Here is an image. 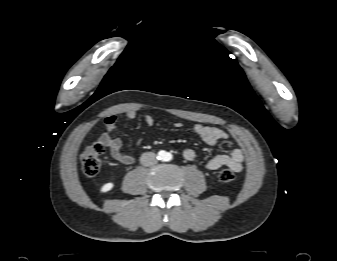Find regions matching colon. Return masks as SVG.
Instances as JSON below:
<instances>
[{
  "label": "colon",
  "instance_id": "obj_1",
  "mask_svg": "<svg viewBox=\"0 0 337 261\" xmlns=\"http://www.w3.org/2000/svg\"><path fill=\"white\" fill-rule=\"evenodd\" d=\"M105 147L102 143L96 142L86 146L80 155L82 171L86 176L92 177L98 174L102 165V157ZM222 182L229 183L235 178L233 171L229 168L220 170L218 174Z\"/></svg>",
  "mask_w": 337,
  "mask_h": 261
}]
</instances>
